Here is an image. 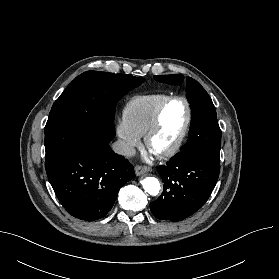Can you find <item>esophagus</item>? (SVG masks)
Listing matches in <instances>:
<instances>
[{"instance_id": "1", "label": "esophagus", "mask_w": 279, "mask_h": 279, "mask_svg": "<svg viewBox=\"0 0 279 279\" xmlns=\"http://www.w3.org/2000/svg\"><path fill=\"white\" fill-rule=\"evenodd\" d=\"M151 171V168L150 167H147V166H136L135 167V173L137 176H140V175H143L147 172H150Z\"/></svg>"}]
</instances>
